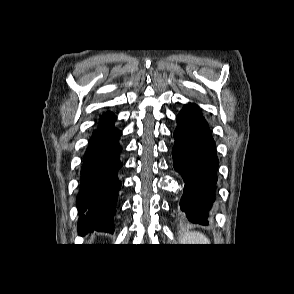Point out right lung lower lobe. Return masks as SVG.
Returning a JSON list of instances; mask_svg holds the SVG:
<instances>
[{"instance_id":"obj_1","label":"right lung lower lobe","mask_w":294,"mask_h":294,"mask_svg":"<svg viewBox=\"0 0 294 294\" xmlns=\"http://www.w3.org/2000/svg\"><path fill=\"white\" fill-rule=\"evenodd\" d=\"M115 116L104 114L100 126L93 132L81 170L78 194L79 234L113 232V215L120 182L116 177L122 166L119 161L121 132L111 124Z\"/></svg>"}]
</instances>
